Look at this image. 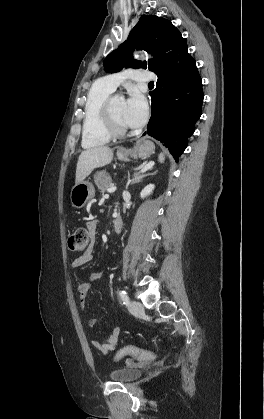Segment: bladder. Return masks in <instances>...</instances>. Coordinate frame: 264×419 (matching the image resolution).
Here are the masks:
<instances>
[{
  "label": "bladder",
  "mask_w": 264,
  "mask_h": 419,
  "mask_svg": "<svg viewBox=\"0 0 264 419\" xmlns=\"http://www.w3.org/2000/svg\"><path fill=\"white\" fill-rule=\"evenodd\" d=\"M142 375V370L134 365L114 369L109 373V377L116 382L129 383L137 380Z\"/></svg>",
  "instance_id": "bladder-1"
}]
</instances>
